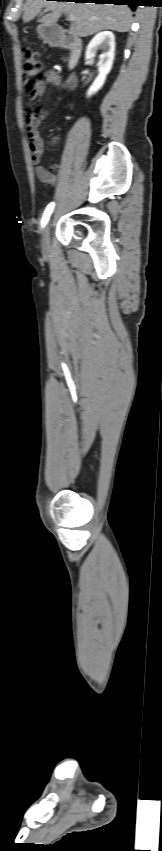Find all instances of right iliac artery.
I'll use <instances>...</instances> for the list:
<instances>
[{
  "label": "right iliac artery",
  "instance_id": "right-iliac-artery-1",
  "mask_svg": "<svg viewBox=\"0 0 162 851\" xmlns=\"http://www.w3.org/2000/svg\"><path fill=\"white\" fill-rule=\"evenodd\" d=\"M54 206H55V204H54V202H52V203H50V204L47 206V208L45 209V212H44V214H43V218H42V226H43V227H44V226L46 225V223L48 222L49 217H50V215H51V213H52V211H53Z\"/></svg>",
  "mask_w": 162,
  "mask_h": 851
}]
</instances>
